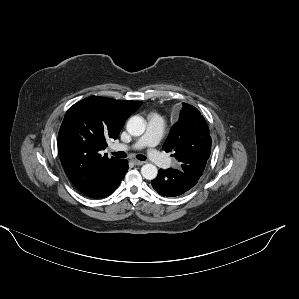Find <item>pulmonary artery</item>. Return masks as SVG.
I'll list each match as a JSON object with an SVG mask.
<instances>
[{
	"instance_id": "pulmonary-artery-1",
	"label": "pulmonary artery",
	"mask_w": 299,
	"mask_h": 299,
	"mask_svg": "<svg viewBox=\"0 0 299 299\" xmlns=\"http://www.w3.org/2000/svg\"><path fill=\"white\" fill-rule=\"evenodd\" d=\"M164 126V119L158 114H153L148 119L147 129L144 135L129 145L115 144L113 149L118 151L146 149V155L151 162L166 167L170 164L169 159L164 157L155 148L161 139Z\"/></svg>"
}]
</instances>
